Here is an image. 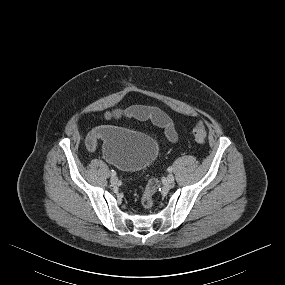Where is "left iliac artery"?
<instances>
[{"label":"left iliac artery","instance_id":"obj_1","mask_svg":"<svg viewBox=\"0 0 285 285\" xmlns=\"http://www.w3.org/2000/svg\"><path fill=\"white\" fill-rule=\"evenodd\" d=\"M168 171H169V172H172V171H173V168H172V167H169V168H168Z\"/></svg>","mask_w":285,"mask_h":285}]
</instances>
